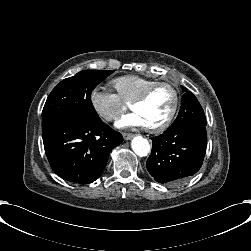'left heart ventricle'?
<instances>
[{
  "label": "left heart ventricle",
  "instance_id": "obj_1",
  "mask_svg": "<svg viewBox=\"0 0 251 251\" xmlns=\"http://www.w3.org/2000/svg\"><path fill=\"white\" fill-rule=\"evenodd\" d=\"M175 101L174 91L167 85L159 86L150 98L141 104H135L134 110L140 111L147 126L161 123L166 119L173 108Z\"/></svg>",
  "mask_w": 251,
  "mask_h": 251
}]
</instances>
